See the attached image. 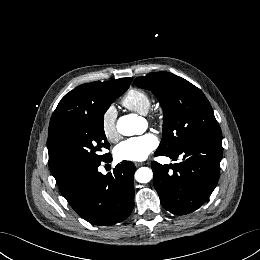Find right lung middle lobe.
Listing matches in <instances>:
<instances>
[{
	"label": "right lung middle lobe",
	"mask_w": 260,
	"mask_h": 260,
	"mask_svg": "<svg viewBox=\"0 0 260 260\" xmlns=\"http://www.w3.org/2000/svg\"><path fill=\"white\" fill-rule=\"evenodd\" d=\"M122 92H104L95 97L87 111L78 116L59 138L60 158L66 173L104 161L110 147L104 133V114Z\"/></svg>",
	"instance_id": "1"
}]
</instances>
